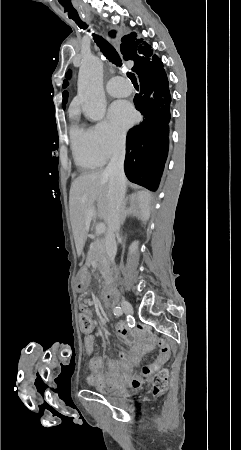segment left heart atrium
Here are the masks:
<instances>
[{"label": "left heart atrium", "instance_id": "left-heart-atrium-1", "mask_svg": "<svg viewBox=\"0 0 241 450\" xmlns=\"http://www.w3.org/2000/svg\"><path fill=\"white\" fill-rule=\"evenodd\" d=\"M111 123L121 130L128 129L135 120V112L127 101H116L109 109Z\"/></svg>", "mask_w": 241, "mask_h": 450}]
</instances>
